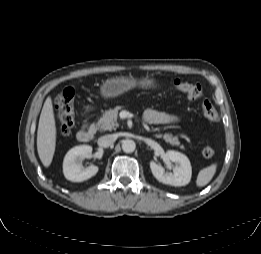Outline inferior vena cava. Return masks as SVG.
<instances>
[{"label":"inferior vena cava","instance_id":"obj_1","mask_svg":"<svg viewBox=\"0 0 261 254\" xmlns=\"http://www.w3.org/2000/svg\"><path fill=\"white\" fill-rule=\"evenodd\" d=\"M115 140H116V136L114 134H108L98 139V145L100 147L107 148L110 145H112L115 142Z\"/></svg>","mask_w":261,"mask_h":254}]
</instances>
